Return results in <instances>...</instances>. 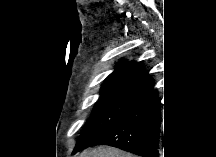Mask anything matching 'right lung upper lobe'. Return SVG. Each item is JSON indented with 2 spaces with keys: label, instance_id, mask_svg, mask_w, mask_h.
<instances>
[{
  "label": "right lung upper lobe",
  "instance_id": "1",
  "mask_svg": "<svg viewBox=\"0 0 216 157\" xmlns=\"http://www.w3.org/2000/svg\"><path fill=\"white\" fill-rule=\"evenodd\" d=\"M153 83L154 80L139 66L138 62L122 60L105 79L100 93L102 96L125 90L137 92Z\"/></svg>",
  "mask_w": 216,
  "mask_h": 157
}]
</instances>
